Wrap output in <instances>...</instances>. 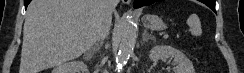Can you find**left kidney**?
I'll use <instances>...</instances> for the list:
<instances>
[{"label":"left kidney","mask_w":244,"mask_h":73,"mask_svg":"<svg viewBox=\"0 0 244 73\" xmlns=\"http://www.w3.org/2000/svg\"><path fill=\"white\" fill-rule=\"evenodd\" d=\"M173 58L176 66L173 73H195L192 62L180 50L168 45H156L150 51L149 58L157 63L160 59Z\"/></svg>","instance_id":"left-kidney-1"}]
</instances>
